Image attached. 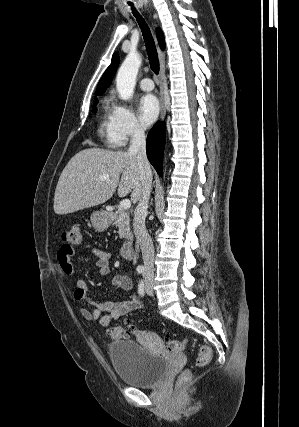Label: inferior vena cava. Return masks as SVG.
I'll list each match as a JSON object with an SVG mask.
<instances>
[{
	"label": "inferior vena cava",
	"mask_w": 299,
	"mask_h": 427,
	"mask_svg": "<svg viewBox=\"0 0 299 427\" xmlns=\"http://www.w3.org/2000/svg\"><path fill=\"white\" fill-rule=\"evenodd\" d=\"M128 152L136 155L141 176L142 194L134 211L133 228L137 243L141 247L145 274L150 276L154 272V246L146 230L145 219L152 186V172L146 155L145 133L139 126L133 130Z\"/></svg>",
	"instance_id": "inferior-vena-cava-1"
}]
</instances>
